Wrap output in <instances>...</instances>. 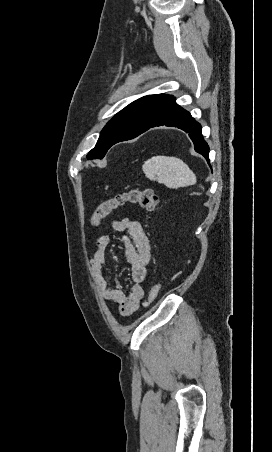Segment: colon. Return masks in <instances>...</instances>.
Returning a JSON list of instances; mask_svg holds the SVG:
<instances>
[{
	"mask_svg": "<svg viewBox=\"0 0 272 452\" xmlns=\"http://www.w3.org/2000/svg\"><path fill=\"white\" fill-rule=\"evenodd\" d=\"M159 202V196L152 189L130 187L101 200L93 210L91 221L97 226L125 205H135L146 211H153ZM161 289L160 283H154L150 289L147 305L155 300Z\"/></svg>",
	"mask_w": 272,
	"mask_h": 452,
	"instance_id": "1",
	"label": "colon"
}]
</instances>
